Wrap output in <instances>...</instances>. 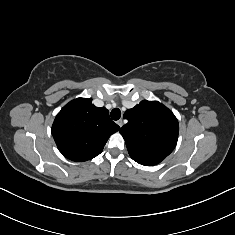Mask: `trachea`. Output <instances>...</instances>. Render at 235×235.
Instances as JSON below:
<instances>
[{"mask_svg":"<svg viewBox=\"0 0 235 235\" xmlns=\"http://www.w3.org/2000/svg\"><path fill=\"white\" fill-rule=\"evenodd\" d=\"M111 118L113 120H118L121 117V111L118 108H115L111 111Z\"/></svg>","mask_w":235,"mask_h":235,"instance_id":"1","label":"trachea"}]
</instances>
